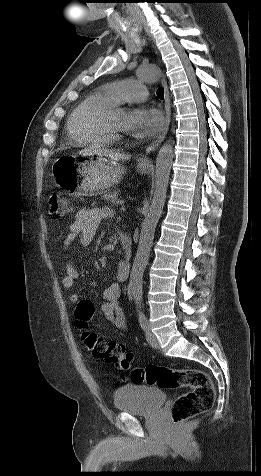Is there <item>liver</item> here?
<instances>
[{
    "instance_id": "liver-1",
    "label": "liver",
    "mask_w": 261,
    "mask_h": 476,
    "mask_svg": "<svg viewBox=\"0 0 261 476\" xmlns=\"http://www.w3.org/2000/svg\"><path fill=\"white\" fill-rule=\"evenodd\" d=\"M80 154H85V155H97L98 158H108L111 161H120V160H128L130 157L113 151L109 150L106 148H101L100 146H90L88 148H85L79 152Z\"/></svg>"
}]
</instances>
